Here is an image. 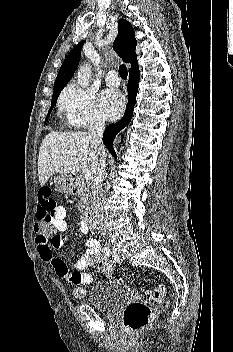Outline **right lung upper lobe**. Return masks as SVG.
I'll use <instances>...</instances> for the list:
<instances>
[{"label": "right lung upper lobe", "mask_w": 233, "mask_h": 352, "mask_svg": "<svg viewBox=\"0 0 233 352\" xmlns=\"http://www.w3.org/2000/svg\"><path fill=\"white\" fill-rule=\"evenodd\" d=\"M85 41L78 43L66 56L54 83V90L64 88L67 82L73 77L80 62L81 49ZM136 39L131 24L125 19L118 21V35L114 41V49L126 63H131L129 74L138 72Z\"/></svg>", "instance_id": "right-lung-upper-lobe-1"}]
</instances>
